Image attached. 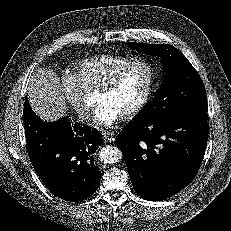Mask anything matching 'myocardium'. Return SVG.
Returning <instances> with one entry per match:
<instances>
[{
  "label": "myocardium",
  "mask_w": 231,
  "mask_h": 231,
  "mask_svg": "<svg viewBox=\"0 0 231 231\" xmlns=\"http://www.w3.org/2000/svg\"><path fill=\"white\" fill-rule=\"evenodd\" d=\"M140 65L145 66L149 71V75H150L149 85L142 99L129 112H127L125 115L121 117L124 120H130L136 117L149 103L152 95L154 94L156 90L157 80H158L157 72L154 66L147 60H143V59L133 60L132 62H130L123 68H121L119 71H117L115 74H113L98 89L99 90L98 98L100 95L108 94L112 92L118 86V84L121 82V80L127 74L129 70H131L132 68L136 66H140Z\"/></svg>",
  "instance_id": "obj_1"
}]
</instances>
